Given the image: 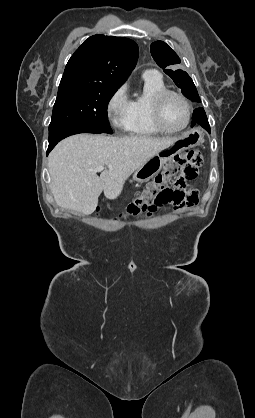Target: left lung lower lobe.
I'll return each instance as SVG.
<instances>
[{"instance_id":"left-lung-lower-lobe-1","label":"left lung lower lobe","mask_w":255,"mask_h":418,"mask_svg":"<svg viewBox=\"0 0 255 418\" xmlns=\"http://www.w3.org/2000/svg\"><path fill=\"white\" fill-rule=\"evenodd\" d=\"M196 124L201 125L203 128H205L210 133V126H209V123H208L206 113H205L203 108H197L193 112L192 125L191 126L193 127Z\"/></svg>"}]
</instances>
